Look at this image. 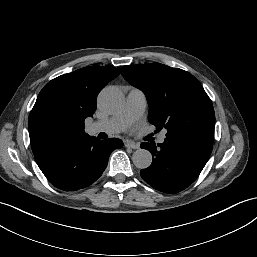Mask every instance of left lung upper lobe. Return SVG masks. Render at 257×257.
I'll list each match as a JSON object with an SVG mask.
<instances>
[{
    "label": "left lung upper lobe",
    "instance_id": "left-lung-upper-lobe-1",
    "mask_svg": "<svg viewBox=\"0 0 257 257\" xmlns=\"http://www.w3.org/2000/svg\"><path fill=\"white\" fill-rule=\"evenodd\" d=\"M123 77L141 89L149 104L148 120L167 129L166 138L214 134L212 102L189 72L160 63L122 67Z\"/></svg>",
    "mask_w": 257,
    "mask_h": 257
}]
</instances>
